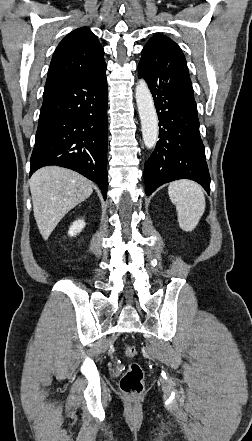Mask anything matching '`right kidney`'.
<instances>
[{
	"instance_id": "obj_1",
	"label": "right kidney",
	"mask_w": 252,
	"mask_h": 441,
	"mask_svg": "<svg viewBox=\"0 0 252 441\" xmlns=\"http://www.w3.org/2000/svg\"><path fill=\"white\" fill-rule=\"evenodd\" d=\"M85 227V221L83 219H78L72 223L68 230V234L73 237L79 234Z\"/></svg>"
}]
</instances>
